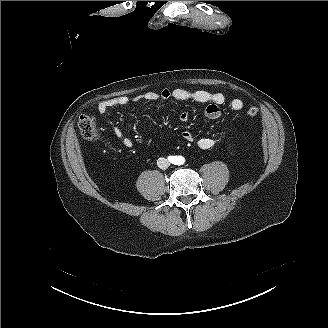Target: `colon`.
Returning <instances> with one entry per match:
<instances>
[{
	"label": "colon",
	"mask_w": 328,
	"mask_h": 328,
	"mask_svg": "<svg viewBox=\"0 0 328 328\" xmlns=\"http://www.w3.org/2000/svg\"><path fill=\"white\" fill-rule=\"evenodd\" d=\"M258 108L250 106L246 113L249 117H255L258 114ZM78 127L81 135L86 139H94L98 134L95 120L88 115H81L78 120Z\"/></svg>",
	"instance_id": "obj_1"
}]
</instances>
